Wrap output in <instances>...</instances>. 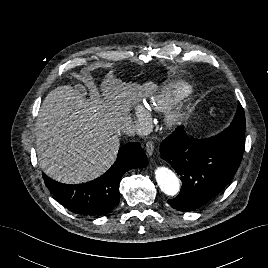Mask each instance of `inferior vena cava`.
I'll return each instance as SVG.
<instances>
[{
	"mask_svg": "<svg viewBox=\"0 0 268 268\" xmlns=\"http://www.w3.org/2000/svg\"><path fill=\"white\" fill-rule=\"evenodd\" d=\"M122 131L128 136H133L137 134L138 128L134 124L128 123L123 126Z\"/></svg>",
	"mask_w": 268,
	"mask_h": 268,
	"instance_id": "1",
	"label": "inferior vena cava"
}]
</instances>
